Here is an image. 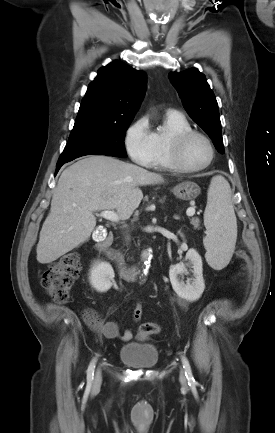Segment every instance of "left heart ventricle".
Instances as JSON below:
<instances>
[{"label": "left heart ventricle", "mask_w": 275, "mask_h": 433, "mask_svg": "<svg viewBox=\"0 0 275 433\" xmlns=\"http://www.w3.org/2000/svg\"><path fill=\"white\" fill-rule=\"evenodd\" d=\"M210 158V150L200 137H194L187 142L183 151L184 162L192 167L205 164Z\"/></svg>", "instance_id": "obj_1"}]
</instances>
